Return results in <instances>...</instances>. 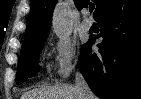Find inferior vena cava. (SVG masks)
<instances>
[{
	"label": "inferior vena cava",
	"mask_w": 141,
	"mask_h": 99,
	"mask_svg": "<svg viewBox=\"0 0 141 99\" xmlns=\"http://www.w3.org/2000/svg\"><path fill=\"white\" fill-rule=\"evenodd\" d=\"M75 86L80 94V99H96L80 71L75 74Z\"/></svg>",
	"instance_id": "inferior-vena-cava-1"
}]
</instances>
